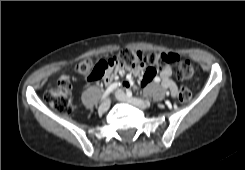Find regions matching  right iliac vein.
Here are the masks:
<instances>
[{
  "label": "right iliac vein",
  "mask_w": 245,
  "mask_h": 170,
  "mask_svg": "<svg viewBox=\"0 0 245 170\" xmlns=\"http://www.w3.org/2000/svg\"><path fill=\"white\" fill-rule=\"evenodd\" d=\"M110 107V100L107 99L105 100L99 107V113H104L106 112Z\"/></svg>",
  "instance_id": "obj_1"
}]
</instances>
